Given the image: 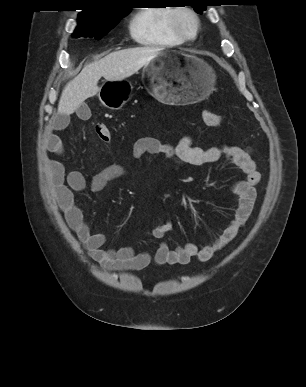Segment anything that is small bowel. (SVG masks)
<instances>
[{"mask_svg":"<svg viewBox=\"0 0 306 387\" xmlns=\"http://www.w3.org/2000/svg\"><path fill=\"white\" fill-rule=\"evenodd\" d=\"M69 124V115L60 114L49 125L45 135L47 152L61 155L64 152L62 139L55 133L65 129ZM134 158L145 155L162 154L173 161L177 166H201L214 163L221 158L230 159L244 174V178L231 185V191L238 198L233 217L225 229L208 245L197 247L188 243L177 248H170L161 242L154 255L149 252L136 253L133 248L125 246L116 249H104L105 235L100 231H92L84 220L81 209L77 206L75 193L86 188V180L79 171H66L58 160H46V172L54 198L62 211L67 224L76 234L91 258L107 270L139 271L146 268L151 262L157 265H185L192 259L206 262L215 253L231 242L238 231L245 225L252 213L256 200V185L261 175L256 168L251 151L247 147L233 145H218L201 148L193 145L191 136L180 138L175 146L164 144L153 137L138 139L132 148ZM125 174V168L120 164H111L93 176L90 184L92 192H99L105 186ZM170 221L157 225L152 230V236L161 240L171 230Z\"/></svg>","mask_w":306,"mask_h":387,"instance_id":"obj_1","label":"small bowel"}]
</instances>
